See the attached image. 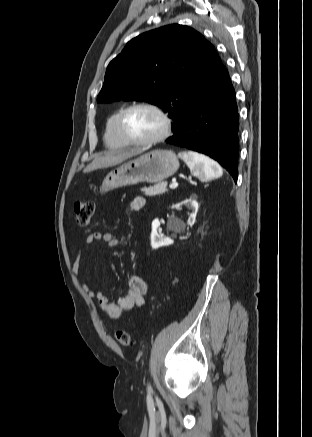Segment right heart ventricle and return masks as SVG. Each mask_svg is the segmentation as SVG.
<instances>
[{
    "instance_id": "obj_1",
    "label": "right heart ventricle",
    "mask_w": 312,
    "mask_h": 437,
    "mask_svg": "<svg viewBox=\"0 0 312 437\" xmlns=\"http://www.w3.org/2000/svg\"><path fill=\"white\" fill-rule=\"evenodd\" d=\"M122 108L115 111L108 119L105 125L104 141L110 149H122L128 144L121 138L117 130V120Z\"/></svg>"
}]
</instances>
